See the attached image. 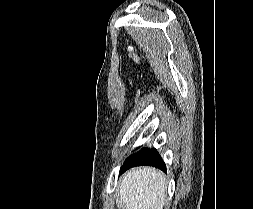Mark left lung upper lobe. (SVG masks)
<instances>
[{"label":"left lung upper lobe","mask_w":253,"mask_h":209,"mask_svg":"<svg viewBox=\"0 0 253 209\" xmlns=\"http://www.w3.org/2000/svg\"><path fill=\"white\" fill-rule=\"evenodd\" d=\"M147 148H143L142 150H140L138 153H136V154H133L132 156H136V155H138V154H140V153H142L144 150H146Z\"/></svg>","instance_id":"left-lung-upper-lobe-1"}]
</instances>
